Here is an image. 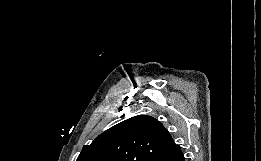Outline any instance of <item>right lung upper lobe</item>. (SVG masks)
Here are the masks:
<instances>
[{
    "label": "right lung upper lobe",
    "instance_id": "1",
    "mask_svg": "<svg viewBox=\"0 0 261 161\" xmlns=\"http://www.w3.org/2000/svg\"><path fill=\"white\" fill-rule=\"evenodd\" d=\"M180 150L155 118L138 115L100 134L85 145L77 161H158Z\"/></svg>",
    "mask_w": 261,
    "mask_h": 161
}]
</instances>
